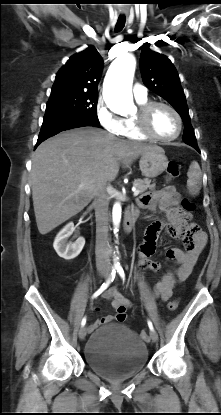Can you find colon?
<instances>
[{"label":"colon","mask_w":221,"mask_h":415,"mask_svg":"<svg viewBox=\"0 0 221 415\" xmlns=\"http://www.w3.org/2000/svg\"><path fill=\"white\" fill-rule=\"evenodd\" d=\"M166 174H167V178L170 179V180L177 178L179 176V174H180V167H179V165L176 162H174V161H170L167 164V167H166ZM181 204H182V207H188V210H190V213L193 212L194 209H195V204L193 202H191L187 198H183L181 200ZM178 304H179L178 299L177 298L176 299H173V300H171L167 304V309L169 311H174V310L177 309ZM141 337L143 339H147L148 338L147 332L146 331H142L141 332Z\"/></svg>","instance_id":"obj_1"}]
</instances>
